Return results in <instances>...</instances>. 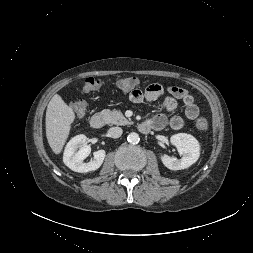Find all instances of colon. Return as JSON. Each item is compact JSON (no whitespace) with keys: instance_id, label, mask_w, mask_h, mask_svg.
<instances>
[{"instance_id":"obj_1","label":"colon","mask_w":253,"mask_h":253,"mask_svg":"<svg viewBox=\"0 0 253 253\" xmlns=\"http://www.w3.org/2000/svg\"><path fill=\"white\" fill-rule=\"evenodd\" d=\"M103 81L95 78L88 77L84 81L83 91L92 92L100 89ZM139 85V80L136 77H125L116 82V86L122 91H132ZM71 107L77 117H82L87 110V103L84 100H78L71 104ZM209 122L205 116H199L195 120V126L198 130L204 131L208 128Z\"/></svg>"}]
</instances>
